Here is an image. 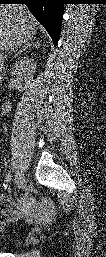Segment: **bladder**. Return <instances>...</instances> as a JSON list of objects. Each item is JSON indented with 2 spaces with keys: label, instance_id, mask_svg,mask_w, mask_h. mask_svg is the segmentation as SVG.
Returning a JSON list of instances; mask_svg holds the SVG:
<instances>
[{
  "label": "bladder",
  "instance_id": "bladder-1",
  "mask_svg": "<svg viewBox=\"0 0 106 257\" xmlns=\"http://www.w3.org/2000/svg\"><path fill=\"white\" fill-rule=\"evenodd\" d=\"M20 245V241L19 240H15L14 242H13V244H12V246H14V247H17V246H19Z\"/></svg>",
  "mask_w": 106,
  "mask_h": 257
}]
</instances>
